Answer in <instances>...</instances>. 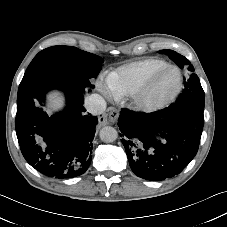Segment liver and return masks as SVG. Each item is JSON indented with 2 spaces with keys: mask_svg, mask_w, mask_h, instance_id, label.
Returning <instances> with one entry per match:
<instances>
[{
  "mask_svg": "<svg viewBox=\"0 0 227 227\" xmlns=\"http://www.w3.org/2000/svg\"><path fill=\"white\" fill-rule=\"evenodd\" d=\"M63 98L58 96L57 94H51L49 96V106L53 110H58L63 107ZM48 113H51V110H48Z\"/></svg>",
  "mask_w": 227,
  "mask_h": 227,
  "instance_id": "liver-1",
  "label": "liver"
}]
</instances>
